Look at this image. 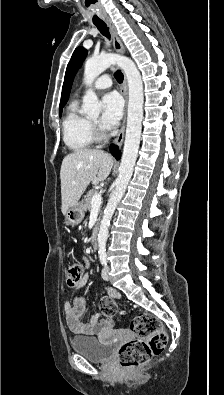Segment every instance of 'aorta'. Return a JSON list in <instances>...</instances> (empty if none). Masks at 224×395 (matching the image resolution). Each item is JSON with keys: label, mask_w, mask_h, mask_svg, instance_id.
<instances>
[{"label": "aorta", "mask_w": 224, "mask_h": 395, "mask_svg": "<svg viewBox=\"0 0 224 395\" xmlns=\"http://www.w3.org/2000/svg\"><path fill=\"white\" fill-rule=\"evenodd\" d=\"M112 65H117L125 73L128 83L129 100L126 135L119 167V175L115 181V190L107 203L100 224L98 233L99 252L106 251L108 228L111 218L118 202L125 193L133 173L140 144L143 119V82L139 70L130 58L117 54H104L88 59L84 69V83L87 87H90L93 81ZM82 111L84 114L94 117L100 114L101 103L92 89H88L83 97Z\"/></svg>", "instance_id": "762f6f07"}]
</instances>
